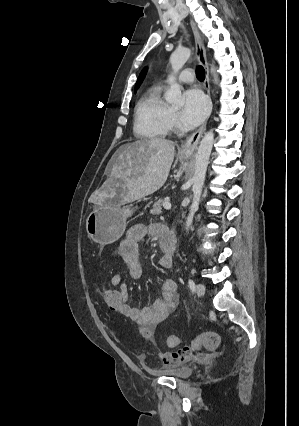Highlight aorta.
<instances>
[{
    "label": "aorta",
    "instance_id": "762f6f07",
    "mask_svg": "<svg viewBox=\"0 0 299 426\" xmlns=\"http://www.w3.org/2000/svg\"><path fill=\"white\" fill-rule=\"evenodd\" d=\"M190 56L191 50L189 48L177 49L171 54L170 63L174 74H177L182 69ZM211 73L213 74L214 83L218 84V75L214 65L211 67ZM165 99L168 103L178 107H181L184 104V99L181 94V86L175 81V77L172 78V84L170 89L165 94ZM213 144L214 133L213 130H210L205 133L204 137L202 138L195 157V171L192 186L193 200L186 220L187 231L192 225L194 214L199 208L202 188L204 185L206 170Z\"/></svg>",
    "mask_w": 299,
    "mask_h": 426
}]
</instances>
